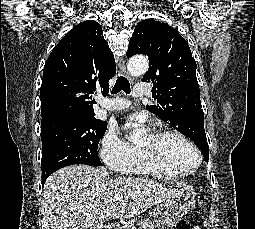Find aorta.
<instances>
[{"label": "aorta", "instance_id": "762f6f07", "mask_svg": "<svg viewBox=\"0 0 255 229\" xmlns=\"http://www.w3.org/2000/svg\"><path fill=\"white\" fill-rule=\"evenodd\" d=\"M148 67H149L148 60L143 56L131 58L127 65V69L132 76H141L145 74L146 71L148 70ZM142 133L143 132L140 128H135L132 131L129 140L132 142L138 141L141 138Z\"/></svg>", "mask_w": 255, "mask_h": 229}]
</instances>
